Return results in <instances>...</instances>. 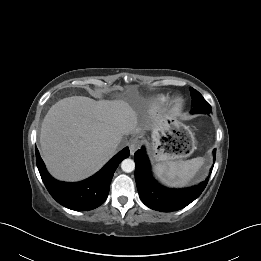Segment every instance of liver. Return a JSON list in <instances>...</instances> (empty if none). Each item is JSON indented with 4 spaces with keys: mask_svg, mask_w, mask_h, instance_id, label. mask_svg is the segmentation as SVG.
<instances>
[{
    "mask_svg": "<svg viewBox=\"0 0 261 261\" xmlns=\"http://www.w3.org/2000/svg\"><path fill=\"white\" fill-rule=\"evenodd\" d=\"M148 113V114H147ZM140 111L134 101L72 96L54 104L41 126L43 160L57 179L78 181L97 172L123 136L138 134L155 118L156 107Z\"/></svg>",
    "mask_w": 261,
    "mask_h": 261,
    "instance_id": "obj_1",
    "label": "liver"
}]
</instances>
